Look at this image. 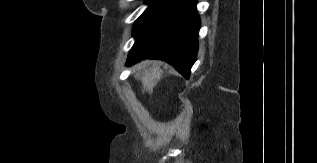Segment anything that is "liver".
Wrapping results in <instances>:
<instances>
[{
	"mask_svg": "<svg viewBox=\"0 0 317 163\" xmlns=\"http://www.w3.org/2000/svg\"><path fill=\"white\" fill-rule=\"evenodd\" d=\"M162 73L163 70L160 67L155 66L150 68L144 67L141 75L136 74V78L140 79L142 82L143 92H152Z\"/></svg>",
	"mask_w": 317,
	"mask_h": 163,
	"instance_id": "6515ba94",
	"label": "liver"
}]
</instances>
